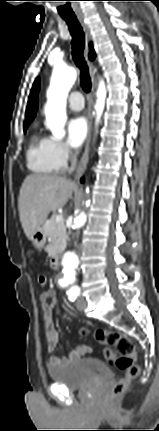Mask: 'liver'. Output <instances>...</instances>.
Instances as JSON below:
<instances>
[{
    "mask_svg": "<svg viewBox=\"0 0 159 431\" xmlns=\"http://www.w3.org/2000/svg\"><path fill=\"white\" fill-rule=\"evenodd\" d=\"M76 185L66 177L50 174L28 175L18 198L19 216L26 237L31 240L41 230L49 213L62 208Z\"/></svg>",
    "mask_w": 159,
    "mask_h": 431,
    "instance_id": "1",
    "label": "liver"
}]
</instances>
